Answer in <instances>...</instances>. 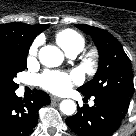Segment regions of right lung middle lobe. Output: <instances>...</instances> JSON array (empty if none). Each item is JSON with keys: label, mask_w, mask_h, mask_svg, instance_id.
Segmentation results:
<instances>
[{"label": "right lung middle lobe", "mask_w": 136, "mask_h": 136, "mask_svg": "<svg viewBox=\"0 0 136 136\" xmlns=\"http://www.w3.org/2000/svg\"><path fill=\"white\" fill-rule=\"evenodd\" d=\"M28 50L16 44H0V96L15 93L19 87L14 78L18 72L25 70Z\"/></svg>", "instance_id": "obj_1"}]
</instances>
